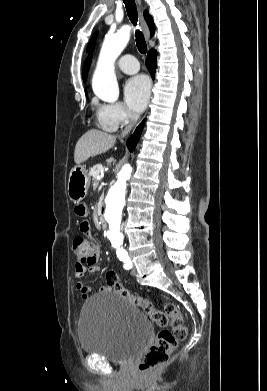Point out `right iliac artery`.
<instances>
[{
	"label": "right iliac artery",
	"instance_id": "obj_1",
	"mask_svg": "<svg viewBox=\"0 0 267 391\" xmlns=\"http://www.w3.org/2000/svg\"><path fill=\"white\" fill-rule=\"evenodd\" d=\"M121 260L124 262V268L125 269H128V270L131 269L132 263H131V261H130L128 256L124 257V258H121Z\"/></svg>",
	"mask_w": 267,
	"mask_h": 391
}]
</instances>
